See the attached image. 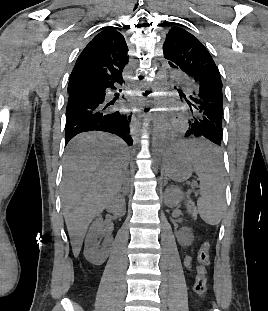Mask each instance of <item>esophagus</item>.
<instances>
[{
  "label": "esophagus",
  "instance_id": "obj_1",
  "mask_svg": "<svg viewBox=\"0 0 268 311\" xmlns=\"http://www.w3.org/2000/svg\"><path fill=\"white\" fill-rule=\"evenodd\" d=\"M152 89L151 85H148L146 90H141V92H139V97H140V102H142L141 104L143 105V102H145L147 95H150V91Z\"/></svg>",
  "mask_w": 268,
  "mask_h": 311
}]
</instances>
